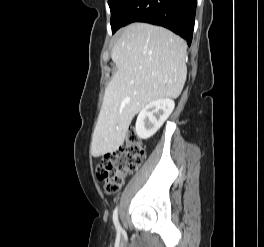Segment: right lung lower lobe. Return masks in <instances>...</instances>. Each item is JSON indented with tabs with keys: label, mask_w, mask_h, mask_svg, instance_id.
I'll return each instance as SVG.
<instances>
[{
	"label": "right lung lower lobe",
	"mask_w": 264,
	"mask_h": 247,
	"mask_svg": "<svg viewBox=\"0 0 264 247\" xmlns=\"http://www.w3.org/2000/svg\"><path fill=\"white\" fill-rule=\"evenodd\" d=\"M196 5L197 0H130L118 17L116 30L133 22H146L170 29L190 45Z\"/></svg>",
	"instance_id": "right-lung-lower-lobe-1"
}]
</instances>
